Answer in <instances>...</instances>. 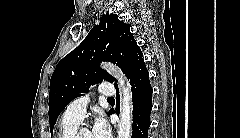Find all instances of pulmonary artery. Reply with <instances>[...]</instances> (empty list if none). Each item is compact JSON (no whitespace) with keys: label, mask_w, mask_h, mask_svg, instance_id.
Segmentation results:
<instances>
[{"label":"pulmonary artery","mask_w":240,"mask_h":138,"mask_svg":"<svg viewBox=\"0 0 240 138\" xmlns=\"http://www.w3.org/2000/svg\"><path fill=\"white\" fill-rule=\"evenodd\" d=\"M99 93L107 98H111L115 94L114 87L107 83L103 82L99 88ZM90 101L89 96H82L73 100L66 108L65 115L68 117L76 118L82 120L86 114V108Z\"/></svg>","instance_id":"pulmonary-artery-1"}]
</instances>
